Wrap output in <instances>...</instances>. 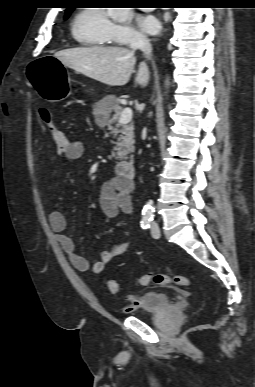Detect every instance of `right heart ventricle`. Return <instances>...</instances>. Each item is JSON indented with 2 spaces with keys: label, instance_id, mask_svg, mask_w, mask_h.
Masks as SVG:
<instances>
[{
  "label": "right heart ventricle",
  "instance_id": "1",
  "mask_svg": "<svg viewBox=\"0 0 255 387\" xmlns=\"http://www.w3.org/2000/svg\"><path fill=\"white\" fill-rule=\"evenodd\" d=\"M112 21L106 10L85 8L74 16L71 23V35L84 46H107L112 43Z\"/></svg>",
  "mask_w": 255,
  "mask_h": 387
}]
</instances>
